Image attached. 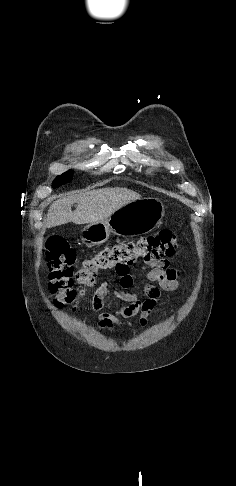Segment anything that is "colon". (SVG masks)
<instances>
[{
    "label": "colon",
    "instance_id": "1",
    "mask_svg": "<svg viewBox=\"0 0 236 486\" xmlns=\"http://www.w3.org/2000/svg\"><path fill=\"white\" fill-rule=\"evenodd\" d=\"M177 245V235L171 230H162L137 241L105 247L83 261L75 273V280L81 286L76 289L73 287L75 252L63 238L53 237L45 253L49 268V290L57 306L75 308L85 289L95 284L99 271L111 268L121 270L139 259L145 262L159 261L172 256Z\"/></svg>",
    "mask_w": 236,
    "mask_h": 486
}]
</instances>
